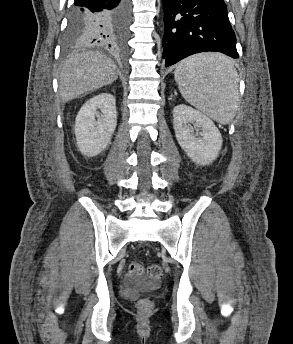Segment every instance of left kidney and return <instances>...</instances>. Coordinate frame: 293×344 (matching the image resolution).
<instances>
[{
	"mask_svg": "<svg viewBox=\"0 0 293 344\" xmlns=\"http://www.w3.org/2000/svg\"><path fill=\"white\" fill-rule=\"evenodd\" d=\"M173 125L179 145L193 162L204 166L218 157L222 136L209 117L180 104L173 109Z\"/></svg>",
	"mask_w": 293,
	"mask_h": 344,
	"instance_id": "left-kidney-1",
	"label": "left kidney"
}]
</instances>
